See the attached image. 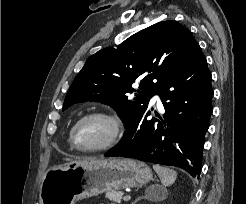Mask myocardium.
Returning <instances> with one entry per match:
<instances>
[{
    "label": "myocardium",
    "instance_id": "1",
    "mask_svg": "<svg viewBox=\"0 0 246 204\" xmlns=\"http://www.w3.org/2000/svg\"><path fill=\"white\" fill-rule=\"evenodd\" d=\"M91 118H100L107 121L111 126V132L108 138L101 144L94 147H81L76 140V131L81 123ZM123 134V125L121 120L114 114L107 111H92L81 116L72 126L70 131V142L79 151L94 153L109 150L116 146Z\"/></svg>",
    "mask_w": 246,
    "mask_h": 204
}]
</instances>
